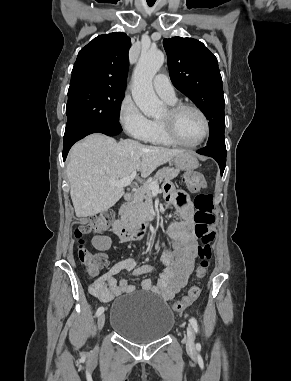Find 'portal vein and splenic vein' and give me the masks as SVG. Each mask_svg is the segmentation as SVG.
Instances as JSON below:
<instances>
[{"label": "portal vein and splenic vein", "instance_id": "18ae733b", "mask_svg": "<svg viewBox=\"0 0 291 381\" xmlns=\"http://www.w3.org/2000/svg\"><path fill=\"white\" fill-rule=\"evenodd\" d=\"M135 177H136V171H133L130 176L124 177L120 180H110L109 183L112 186L123 188V187L129 186ZM139 181L141 183H143V186L147 187L149 190H151L153 192L159 191V184L158 183H156V182L145 183L142 180H139Z\"/></svg>", "mask_w": 291, "mask_h": 381}]
</instances>
